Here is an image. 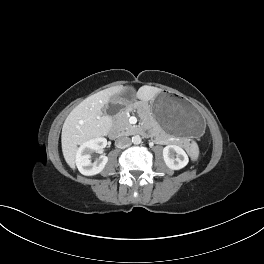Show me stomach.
Masks as SVG:
<instances>
[{"mask_svg": "<svg viewBox=\"0 0 264 264\" xmlns=\"http://www.w3.org/2000/svg\"><path fill=\"white\" fill-rule=\"evenodd\" d=\"M114 104L131 106L132 98L127 92L111 97ZM150 111L154 120L166 132L184 137H198L204 133V119L197 109L175 92L162 91L151 102Z\"/></svg>", "mask_w": 264, "mask_h": 264, "instance_id": "1", "label": "stomach"}]
</instances>
